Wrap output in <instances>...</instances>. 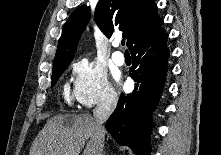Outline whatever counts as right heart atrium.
Returning a JSON list of instances; mask_svg holds the SVG:
<instances>
[{"label":"right heart atrium","mask_w":221,"mask_h":155,"mask_svg":"<svg viewBox=\"0 0 221 155\" xmlns=\"http://www.w3.org/2000/svg\"><path fill=\"white\" fill-rule=\"evenodd\" d=\"M72 71L75 79L74 97L82 108L116 104L117 92L101 67L87 59H80L73 64Z\"/></svg>","instance_id":"right-heart-atrium-1"}]
</instances>
